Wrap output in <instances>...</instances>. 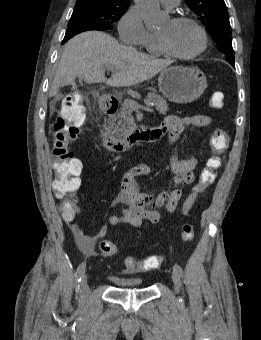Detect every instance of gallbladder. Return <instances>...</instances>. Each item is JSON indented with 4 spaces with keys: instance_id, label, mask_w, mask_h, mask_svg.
I'll return each mask as SVG.
<instances>
[{
    "instance_id": "bac80fb5",
    "label": "gallbladder",
    "mask_w": 261,
    "mask_h": 340,
    "mask_svg": "<svg viewBox=\"0 0 261 340\" xmlns=\"http://www.w3.org/2000/svg\"><path fill=\"white\" fill-rule=\"evenodd\" d=\"M69 84L74 85V84H75L74 80L70 81L69 83H67V84H65V85H69ZM65 85H63V86H65Z\"/></svg>"
}]
</instances>
